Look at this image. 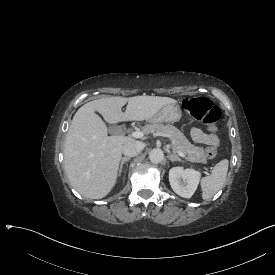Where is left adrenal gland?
Listing matches in <instances>:
<instances>
[{"mask_svg":"<svg viewBox=\"0 0 275 275\" xmlns=\"http://www.w3.org/2000/svg\"><path fill=\"white\" fill-rule=\"evenodd\" d=\"M166 153H167V158L169 160H171V161H181L180 157L177 154H175V153L170 154L168 149H166Z\"/></svg>","mask_w":275,"mask_h":275,"instance_id":"a2214340","label":"left adrenal gland"}]
</instances>
